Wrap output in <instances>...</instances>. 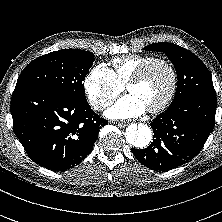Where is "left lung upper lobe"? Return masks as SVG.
I'll use <instances>...</instances> for the list:
<instances>
[{
	"label": "left lung upper lobe",
	"instance_id": "5c2ea615",
	"mask_svg": "<svg viewBox=\"0 0 222 222\" xmlns=\"http://www.w3.org/2000/svg\"><path fill=\"white\" fill-rule=\"evenodd\" d=\"M149 51H164L173 63L178 77V85L173 102L191 96L216 98L211 75L204 63L191 51L168 42H160L145 47Z\"/></svg>",
	"mask_w": 222,
	"mask_h": 222
}]
</instances>
